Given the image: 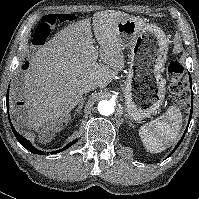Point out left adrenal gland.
I'll return each instance as SVG.
<instances>
[{
  "label": "left adrenal gland",
  "mask_w": 199,
  "mask_h": 199,
  "mask_svg": "<svg viewBox=\"0 0 199 199\" xmlns=\"http://www.w3.org/2000/svg\"><path fill=\"white\" fill-rule=\"evenodd\" d=\"M128 123H129L130 127H134V125H133V123L131 121H128Z\"/></svg>",
  "instance_id": "1"
}]
</instances>
